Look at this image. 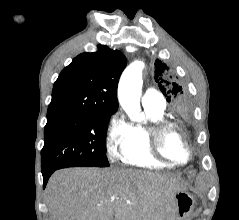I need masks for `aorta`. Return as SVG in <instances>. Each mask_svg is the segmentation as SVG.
I'll use <instances>...</instances> for the list:
<instances>
[{
  "label": "aorta",
  "mask_w": 239,
  "mask_h": 220,
  "mask_svg": "<svg viewBox=\"0 0 239 220\" xmlns=\"http://www.w3.org/2000/svg\"><path fill=\"white\" fill-rule=\"evenodd\" d=\"M143 68V62H133L125 69L119 82L118 99L132 121L143 119L140 108Z\"/></svg>",
  "instance_id": "aorta-1"
}]
</instances>
